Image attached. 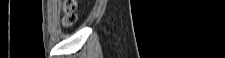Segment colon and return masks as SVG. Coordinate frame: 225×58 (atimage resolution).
<instances>
[{
  "label": "colon",
  "mask_w": 225,
  "mask_h": 58,
  "mask_svg": "<svg viewBox=\"0 0 225 58\" xmlns=\"http://www.w3.org/2000/svg\"><path fill=\"white\" fill-rule=\"evenodd\" d=\"M75 3L74 1H67L65 4V16H64V24L66 27H73L77 22V16L75 14Z\"/></svg>",
  "instance_id": "obj_1"
}]
</instances>
